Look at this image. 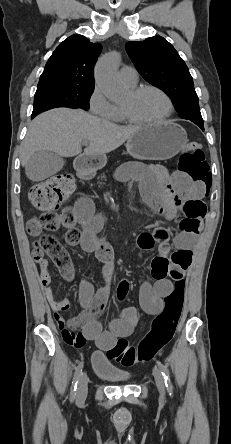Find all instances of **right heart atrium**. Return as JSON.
Returning a JSON list of instances; mask_svg holds the SVG:
<instances>
[{
    "label": "right heart atrium",
    "instance_id": "d8ad5b80",
    "mask_svg": "<svg viewBox=\"0 0 231 444\" xmlns=\"http://www.w3.org/2000/svg\"><path fill=\"white\" fill-rule=\"evenodd\" d=\"M89 108L98 117L112 120L116 106L106 97L99 86H95L89 97Z\"/></svg>",
    "mask_w": 231,
    "mask_h": 444
}]
</instances>
